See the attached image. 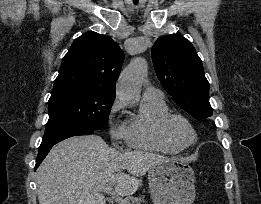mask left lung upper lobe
I'll list each match as a JSON object with an SVG mask.
<instances>
[{
    "instance_id": "5c2ea615",
    "label": "left lung upper lobe",
    "mask_w": 261,
    "mask_h": 204,
    "mask_svg": "<svg viewBox=\"0 0 261 204\" xmlns=\"http://www.w3.org/2000/svg\"><path fill=\"white\" fill-rule=\"evenodd\" d=\"M151 54L156 74L175 103L197 120L212 116L209 83L190 41L179 34L163 36Z\"/></svg>"
}]
</instances>
